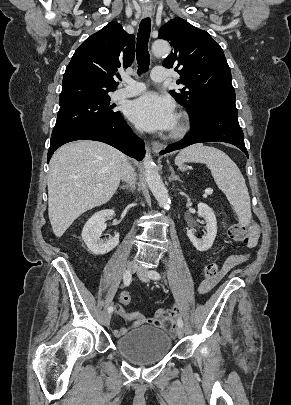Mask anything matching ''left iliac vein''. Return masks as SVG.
Segmentation results:
<instances>
[{
    "label": "left iliac vein",
    "instance_id": "1",
    "mask_svg": "<svg viewBox=\"0 0 291 405\" xmlns=\"http://www.w3.org/2000/svg\"><path fill=\"white\" fill-rule=\"evenodd\" d=\"M137 275L143 282H148L150 280L148 275V269L145 267H138ZM184 335V329L182 327H178L177 329V336L178 338H182Z\"/></svg>",
    "mask_w": 291,
    "mask_h": 405
}]
</instances>
